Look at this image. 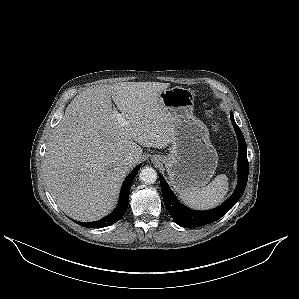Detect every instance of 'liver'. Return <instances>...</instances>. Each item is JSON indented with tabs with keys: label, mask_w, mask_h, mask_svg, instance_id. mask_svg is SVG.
<instances>
[{
	"label": "liver",
	"mask_w": 299,
	"mask_h": 299,
	"mask_svg": "<svg viewBox=\"0 0 299 299\" xmlns=\"http://www.w3.org/2000/svg\"><path fill=\"white\" fill-rule=\"evenodd\" d=\"M169 85L116 83L86 89L71 101L49 137L43 162L46 186L62 211L84 222L106 216L140 161L142 146L162 149L172 143L173 118L159 99ZM127 154L134 158L130 165L123 164Z\"/></svg>",
	"instance_id": "obj_1"
}]
</instances>
